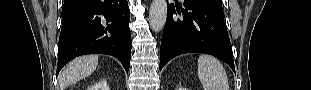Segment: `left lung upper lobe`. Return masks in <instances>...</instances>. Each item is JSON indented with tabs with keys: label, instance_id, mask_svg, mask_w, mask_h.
<instances>
[{
	"label": "left lung upper lobe",
	"instance_id": "left-lung-upper-lobe-1",
	"mask_svg": "<svg viewBox=\"0 0 311 90\" xmlns=\"http://www.w3.org/2000/svg\"><path fill=\"white\" fill-rule=\"evenodd\" d=\"M200 2H203L205 4L211 5L213 7H216L218 9L222 10V2L221 0H198Z\"/></svg>",
	"mask_w": 311,
	"mask_h": 90
}]
</instances>
